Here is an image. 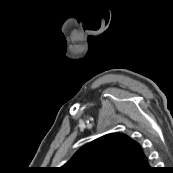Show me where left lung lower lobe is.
<instances>
[{"mask_svg":"<svg viewBox=\"0 0 173 173\" xmlns=\"http://www.w3.org/2000/svg\"><path fill=\"white\" fill-rule=\"evenodd\" d=\"M141 173H155V170L148 165Z\"/></svg>","mask_w":173,"mask_h":173,"instance_id":"1","label":"left lung lower lobe"}]
</instances>
